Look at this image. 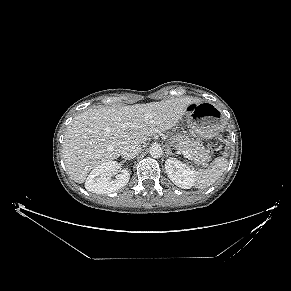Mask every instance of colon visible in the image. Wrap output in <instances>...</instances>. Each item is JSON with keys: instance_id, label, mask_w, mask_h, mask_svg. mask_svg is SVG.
Masks as SVG:
<instances>
[{"instance_id": "obj_1", "label": "colon", "mask_w": 291, "mask_h": 291, "mask_svg": "<svg viewBox=\"0 0 291 291\" xmlns=\"http://www.w3.org/2000/svg\"><path fill=\"white\" fill-rule=\"evenodd\" d=\"M207 150H208V152H212V147L209 145V146L207 147Z\"/></svg>"}]
</instances>
